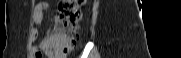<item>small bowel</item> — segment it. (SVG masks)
Listing matches in <instances>:
<instances>
[{"instance_id":"1","label":"small bowel","mask_w":181,"mask_h":58,"mask_svg":"<svg viewBox=\"0 0 181 58\" xmlns=\"http://www.w3.org/2000/svg\"><path fill=\"white\" fill-rule=\"evenodd\" d=\"M48 7H49V4L45 1L38 2L35 5L34 10H33V20L37 25L42 24L44 13L48 9ZM38 35H39V30L35 29L34 36L37 37ZM42 51H44V52L49 51V49H48V37H45L41 41L39 46L32 48V54L35 56V58H36V55L38 53H42Z\"/></svg>"}]
</instances>
